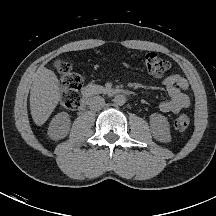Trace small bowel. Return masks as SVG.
<instances>
[{
    "instance_id": "c3829d8e",
    "label": "small bowel",
    "mask_w": 216,
    "mask_h": 216,
    "mask_svg": "<svg viewBox=\"0 0 216 216\" xmlns=\"http://www.w3.org/2000/svg\"><path fill=\"white\" fill-rule=\"evenodd\" d=\"M162 84L169 96L168 100L159 104L160 111L164 113H179L190 105V98L186 94L188 81L180 74H171L162 80Z\"/></svg>"
}]
</instances>
